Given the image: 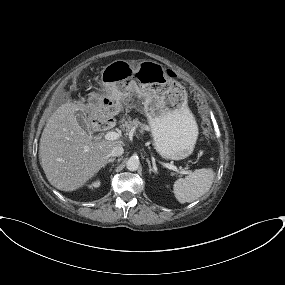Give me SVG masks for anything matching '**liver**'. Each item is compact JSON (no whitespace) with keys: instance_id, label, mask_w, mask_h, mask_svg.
I'll use <instances>...</instances> for the list:
<instances>
[{"instance_id":"obj_1","label":"liver","mask_w":285,"mask_h":285,"mask_svg":"<svg viewBox=\"0 0 285 285\" xmlns=\"http://www.w3.org/2000/svg\"><path fill=\"white\" fill-rule=\"evenodd\" d=\"M104 96L92 92L87 104L84 100H68L51 115L42 132L40 164L49 183L61 191L83 187L105 167L112 149L122 145L120 140L94 142L89 132L78 123L77 111L88 113L92 120L99 119L103 113Z\"/></svg>"}]
</instances>
